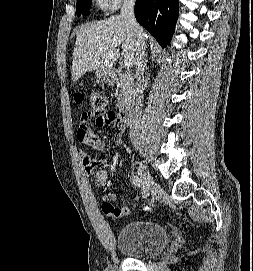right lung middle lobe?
Here are the masks:
<instances>
[{
    "instance_id": "1",
    "label": "right lung middle lobe",
    "mask_w": 253,
    "mask_h": 271,
    "mask_svg": "<svg viewBox=\"0 0 253 271\" xmlns=\"http://www.w3.org/2000/svg\"><path fill=\"white\" fill-rule=\"evenodd\" d=\"M89 8H90V0H77V6H76L77 15L87 14Z\"/></svg>"
}]
</instances>
